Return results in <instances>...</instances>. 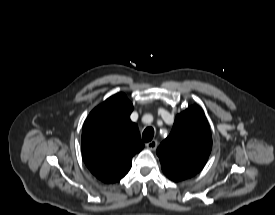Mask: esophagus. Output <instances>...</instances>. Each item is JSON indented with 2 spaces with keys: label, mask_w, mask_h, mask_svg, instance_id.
<instances>
[{
  "label": "esophagus",
  "mask_w": 275,
  "mask_h": 215,
  "mask_svg": "<svg viewBox=\"0 0 275 215\" xmlns=\"http://www.w3.org/2000/svg\"><path fill=\"white\" fill-rule=\"evenodd\" d=\"M146 148L149 149V150H156L157 146H158V142L157 140H152L148 143L145 144Z\"/></svg>",
  "instance_id": "1"
}]
</instances>
